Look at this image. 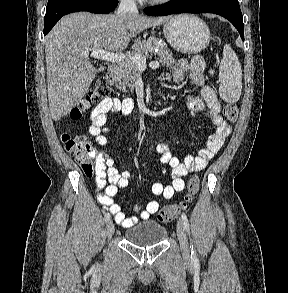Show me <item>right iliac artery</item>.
I'll return each mask as SVG.
<instances>
[{
	"mask_svg": "<svg viewBox=\"0 0 288 293\" xmlns=\"http://www.w3.org/2000/svg\"><path fill=\"white\" fill-rule=\"evenodd\" d=\"M110 219V214L109 213H106L105 215H104V221L106 222V221H108Z\"/></svg>",
	"mask_w": 288,
	"mask_h": 293,
	"instance_id": "obj_1",
	"label": "right iliac artery"
}]
</instances>
